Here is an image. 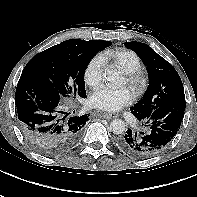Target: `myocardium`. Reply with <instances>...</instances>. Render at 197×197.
<instances>
[{
  "instance_id": "obj_1",
  "label": "myocardium",
  "mask_w": 197,
  "mask_h": 197,
  "mask_svg": "<svg viewBox=\"0 0 197 197\" xmlns=\"http://www.w3.org/2000/svg\"><path fill=\"white\" fill-rule=\"evenodd\" d=\"M126 81L136 95L143 93L147 83L146 77L141 70L132 73H126Z\"/></svg>"
}]
</instances>
